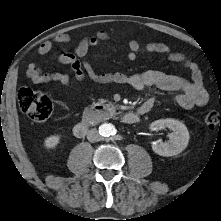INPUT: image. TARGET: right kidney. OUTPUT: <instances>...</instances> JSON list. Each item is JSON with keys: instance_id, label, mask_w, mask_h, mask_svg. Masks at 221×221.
I'll use <instances>...</instances> for the list:
<instances>
[{"instance_id": "obj_1", "label": "right kidney", "mask_w": 221, "mask_h": 221, "mask_svg": "<svg viewBox=\"0 0 221 221\" xmlns=\"http://www.w3.org/2000/svg\"><path fill=\"white\" fill-rule=\"evenodd\" d=\"M60 142V137L57 135L49 136L44 141V146L46 148H54Z\"/></svg>"}]
</instances>
